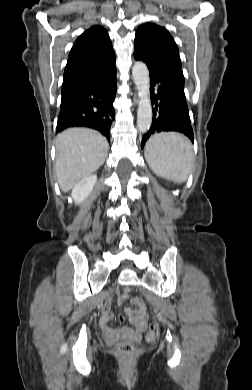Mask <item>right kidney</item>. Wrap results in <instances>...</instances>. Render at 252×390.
<instances>
[{
  "mask_svg": "<svg viewBox=\"0 0 252 390\" xmlns=\"http://www.w3.org/2000/svg\"><path fill=\"white\" fill-rule=\"evenodd\" d=\"M97 181L96 175H90L78 182L72 189L71 196L79 204L90 194Z\"/></svg>",
  "mask_w": 252,
  "mask_h": 390,
  "instance_id": "1",
  "label": "right kidney"
}]
</instances>
